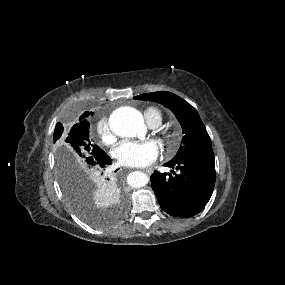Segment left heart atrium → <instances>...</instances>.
<instances>
[{
  "instance_id": "obj_1",
  "label": "left heart atrium",
  "mask_w": 285,
  "mask_h": 285,
  "mask_svg": "<svg viewBox=\"0 0 285 285\" xmlns=\"http://www.w3.org/2000/svg\"><path fill=\"white\" fill-rule=\"evenodd\" d=\"M159 155L158 145L151 140H124L114 149V156L124 166L145 167Z\"/></svg>"
}]
</instances>
